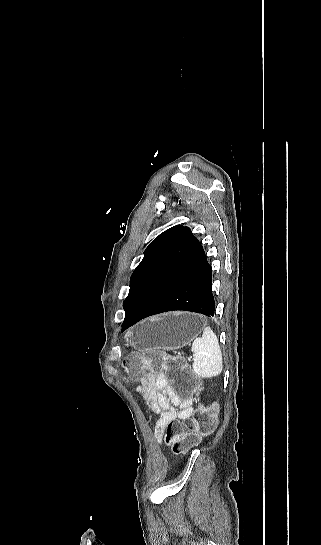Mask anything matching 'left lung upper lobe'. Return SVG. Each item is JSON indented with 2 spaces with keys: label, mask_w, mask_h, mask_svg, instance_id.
I'll list each match as a JSON object with an SVG mask.
<instances>
[{
  "label": "left lung upper lobe",
  "mask_w": 321,
  "mask_h": 545,
  "mask_svg": "<svg viewBox=\"0 0 321 545\" xmlns=\"http://www.w3.org/2000/svg\"><path fill=\"white\" fill-rule=\"evenodd\" d=\"M185 227L174 226L161 233L144 251V258L130 280V290L123 302L125 315L129 312L147 283L162 266Z\"/></svg>",
  "instance_id": "5c2ea615"
}]
</instances>
